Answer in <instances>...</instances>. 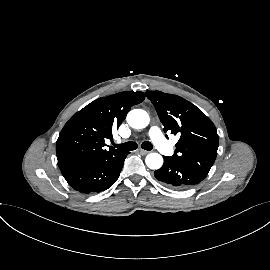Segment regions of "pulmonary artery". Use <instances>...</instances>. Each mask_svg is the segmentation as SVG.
<instances>
[{"mask_svg":"<svg viewBox=\"0 0 270 270\" xmlns=\"http://www.w3.org/2000/svg\"><path fill=\"white\" fill-rule=\"evenodd\" d=\"M148 136L154 143V145L158 148L160 152H162L165 155H172L173 154V147L172 145L165 139L163 136L161 130L153 126L148 131Z\"/></svg>","mask_w":270,"mask_h":270,"instance_id":"e3ab8cb5","label":"pulmonary artery"}]
</instances>
